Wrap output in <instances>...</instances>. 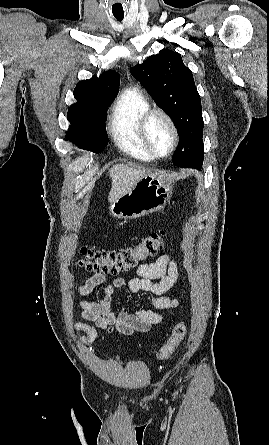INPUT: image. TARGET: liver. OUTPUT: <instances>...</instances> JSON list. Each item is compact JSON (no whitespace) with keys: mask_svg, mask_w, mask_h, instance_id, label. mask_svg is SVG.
<instances>
[{"mask_svg":"<svg viewBox=\"0 0 269 445\" xmlns=\"http://www.w3.org/2000/svg\"><path fill=\"white\" fill-rule=\"evenodd\" d=\"M147 173H149V170L142 166L128 167L124 164L113 166L109 170L112 186L108 201L113 202L115 199L132 190L135 184Z\"/></svg>","mask_w":269,"mask_h":445,"instance_id":"obj_1","label":"liver"}]
</instances>
